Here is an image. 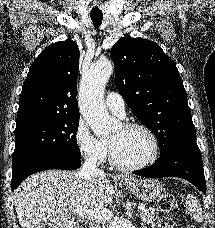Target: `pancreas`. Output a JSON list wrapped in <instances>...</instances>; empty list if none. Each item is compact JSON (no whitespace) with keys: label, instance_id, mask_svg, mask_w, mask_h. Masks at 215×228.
Wrapping results in <instances>:
<instances>
[{"label":"pancreas","instance_id":"pancreas-1","mask_svg":"<svg viewBox=\"0 0 215 228\" xmlns=\"http://www.w3.org/2000/svg\"><path fill=\"white\" fill-rule=\"evenodd\" d=\"M139 216L143 224H154V222H156L155 214L152 210H141ZM100 224H102V222H98L97 228H101Z\"/></svg>","mask_w":215,"mask_h":228}]
</instances>
